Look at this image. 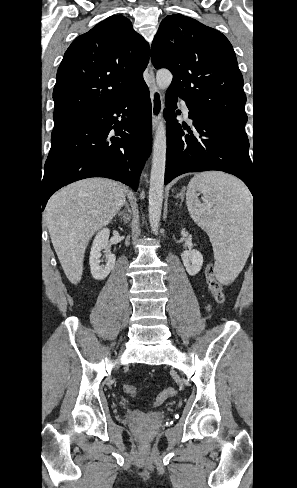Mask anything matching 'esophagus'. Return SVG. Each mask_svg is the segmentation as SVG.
Masks as SVG:
<instances>
[{"label": "esophagus", "mask_w": 297, "mask_h": 488, "mask_svg": "<svg viewBox=\"0 0 297 488\" xmlns=\"http://www.w3.org/2000/svg\"><path fill=\"white\" fill-rule=\"evenodd\" d=\"M148 73L150 78V98L152 103V122L153 128L157 126L163 111V97L161 92L159 91L158 87L155 83L154 72L151 63L148 66Z\"/></svg>", "instance_id": "esophagus-1"}]
</instances>
